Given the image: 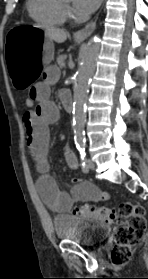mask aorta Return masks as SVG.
Returning <instances> with one entry per match:
<instances>
[{
    "mask_svg": "<svg viewBox=\"0 0 148 279\" xmlns=\"http://www.w3.org/2000/svg\"><path fill=\"white\" fill-rule=\"evenodd\" d=\"M99 51V38H91L82 52L81 63L76 73L73 94V126L75 141L78 145H83L84 143L83 126L86 121L85 106L89 82L95 72Z\"/></svg>",
    "mask_w": 148,
    "mask_h": 279,
    "instance_id": "obj_1",
    "label": "aorta"
}]
</instances>
